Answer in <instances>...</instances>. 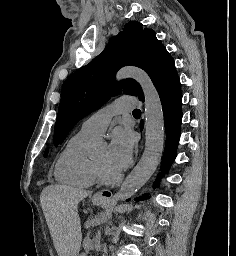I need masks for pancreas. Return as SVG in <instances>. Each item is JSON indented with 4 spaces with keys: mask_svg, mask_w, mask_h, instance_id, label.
<instances>
[{
    "mask_svg": "<svg viewBox=\"0 0 236 256\" xmlns=\"http://www.w3.org/2000/svg\"><path fill=\"white\" fill-rule=\"evenodd\" d=\"M90 223H93V220H90ZM82 245H83L84 250H92L93 249V242H92L91 238H84Z\"/></svg>",
    "mask_w": 236,
    "mask_h": 256,
    "instance_id": "obj_1",
    "label": "pancreas"
}]
</instances>
